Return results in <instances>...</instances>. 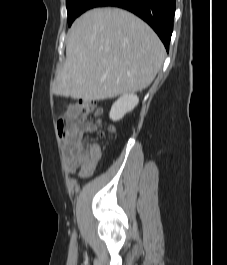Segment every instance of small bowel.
<instances>
[{"label":"small bowel","instance_id":"c3829d8e","mask_svg":"<svg viewBox=\"0 0 227 265\" xmlns=\"http://www.w3.org/2000/svg\"><path fill=\"white\" fill-rule=\"evenodd\" d=\"M67 116H78V105H71V111H67ZM94 130L91 124H77L69 128L64 139V149L67 157V164L71 171H78L81 179L92 175L96 162L100 156L99 146L91 144L85 148L82 138L86 133Z\"/></svg>","mask_w":227,"mask_h":265}]
</instances>
